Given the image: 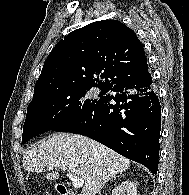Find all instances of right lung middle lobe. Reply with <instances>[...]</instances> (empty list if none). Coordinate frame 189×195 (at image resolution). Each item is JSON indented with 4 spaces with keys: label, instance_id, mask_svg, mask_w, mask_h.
<instances>
[{
    "label": "right lung middle lobe",
    "instance_id": "obj_1",
    "mask_svg": "<svg viewBox=\"0 0 189 195\" xmlns=\"http://www.w3.org/2000/svg\"><path fill=\"white\" fill-rule=\"evenodd\" d=\"M93 86H75L54 91L33 100L27 108L23 126L22 143L33 137L53 130L70 118L85 111L101 98L106 88L98 87V98H87V91Z\"/></svg>",
    "mask_w": 189,
    "mask_h": 195
}]
</instances>
